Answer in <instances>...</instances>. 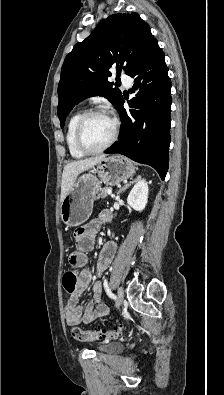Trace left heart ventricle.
I'll return each instance as SVG.
<instances>
[{
    "label": "left heart ventricle",
    "instance_id": "obj_1",
    "mask_svg": "<svg viewBox=\"0 0 224 395\" xmlns=\"http://www.w3.org/2000/svg\"><path fill=\"white\" fill-rule=\"evenodd\" d=\"M113 132L112 120L102 114L91 116L83 128L84 143L91 149L103 146L111 137Z\"/></svg>",
    "mask_w": 224,
    "mask_h": 395
}]
</instances>
